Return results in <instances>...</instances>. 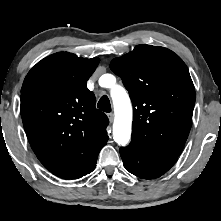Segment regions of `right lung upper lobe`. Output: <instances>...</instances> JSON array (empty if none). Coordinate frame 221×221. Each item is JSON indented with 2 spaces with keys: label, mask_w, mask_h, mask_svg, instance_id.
I'll return each instance as SVG.
<instances>
[{
  "label": "right lung upper lobe",
  "mask_w": 221,
  "mask_h": 221,
  "mask_svg": "<svg viewBox=\"0 0 221 221\" xmlns=\"http://www.w3.org/2000/svg\"><path fill=\"white\" fill-rule=\"evenodd\" d=\"M99 61L55 53L38 62L22 85L20 111L29 143L43 166L64 179H76L108 140L109 120L86 85Z\"/></svg>",
  "instance_id": "1"
}]
</instances>
